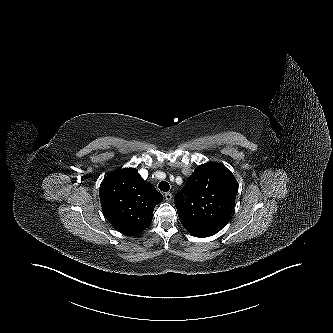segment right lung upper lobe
<instances>
[{"instance_id":"1","label":"right lung upper lobe","mask_w":333,"mask_h":333,"mask_svg":"<svg viewBox=\"0 0 333 333\" xmlns=\"http://www.w3.org/2000/svg\"><path fill=\"white\" fill-rule=\"evenodd\" d=\"M99 195L105 217L117 231L129 236L140 234L150 225L154 207L163 200L136 168L110 173L101 183Z\"/></svg>"}]
</instances>
